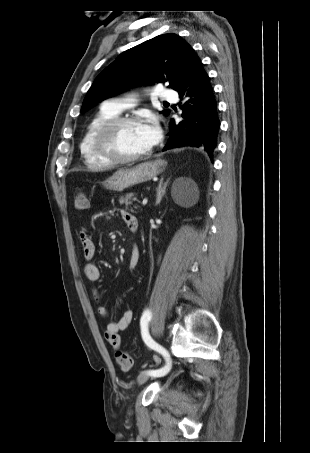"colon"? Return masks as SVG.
Instances as JSON below:
<instances>
[{"label":"colon","mask_w":310,"mask_h":453,"mask_svg":"<svg viewBox=\"0 0 310 453\" xmlns=\"http://www.w3.org/2000/svg\"><path fill=\"white\" fill-rule=\"evenodd\" d=\"M89 206L87 195L83 191H78L74 199V207L78 211L86 210ZM115 359L120 368L124 371L131 369L133 359L131 355L125 351H118L115 354Z\"/></svg>","instance_id":"obj_1"}]
</instances>
